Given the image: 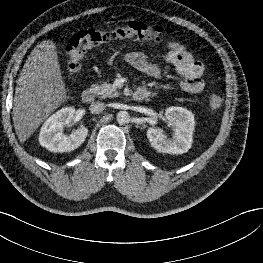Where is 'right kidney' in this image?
Returning a JSON list of instances; mask_svg holds the SVG:
<instances>
[{
	"label": "right kidney",
	"mask_w": 263,
	"mask_h": 263,
	"mask_svg": "<svg viewBox=\"0 0 263 263\" xmlns=\"http://www.w3.org/2000/svg\"><path fill=\"white\" fill-rule=\"evenodd\" d=\"M75 109L65 107L50 116L41 127L39 142L51 152H70L78 148L86 139L88 129L81 127L70 135L62 130L74 118Z\"/></svg>",
	"instance_id": "ca27d5eb"
}]
</instances>
